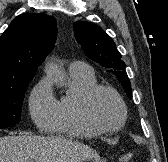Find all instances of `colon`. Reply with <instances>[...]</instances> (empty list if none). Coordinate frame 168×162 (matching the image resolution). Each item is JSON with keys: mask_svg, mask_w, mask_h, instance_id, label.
Segmentation results:
<instances>
[{"mask_svg": "<svg viewBox=\"0 0 168 162\" xmlns=\"http://www.w3.org/2000/svg\"><path fill=\"white\" fill-rule=\"evenodd\" d=\"M121 162H134L132 154H124L120 157Z\"/></svg>", "mask_w": 168, "mask_h": 162, "instance_id": "1", "label": "colon"}]
</instances>
